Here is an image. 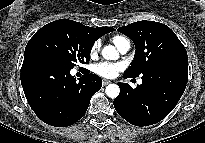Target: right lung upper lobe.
<instances>
[{
  "instance_id": "cb5924a9",
  "label": "right lung upper lobe",
  "mask_w": 205,
  "mask_h": 143,
  "mask_svg": "<svg viewBox=\"0 0 205 143\" xmlns=\"http://www.w3.org/2000/svg\"><path fill=\"white\" fill-rule=\"evenodd\" d=\"M79 23V22H78ZM80 26L96 41L98 38L103 36L106 33H109L111 31H114L115 29L112 27H97V28H92L88 26H84L81 23H79Z\"/></svg>"
}]
</instances>
